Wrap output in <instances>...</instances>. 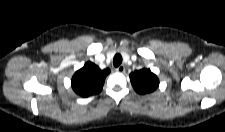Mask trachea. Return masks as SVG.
<instances>
[{"label": "trachea", "mask_w": 225, "mask_h": 132, "mask_svg": "<svg viewBox=\"0 0 225 132\" xmlns=\"http://www.w3.org/2000/svg\"><path fill=\"white\" fill-rule=\"evenodd\" d=\"M122 63V56L120 54H116L113 58V65L118 67Z\"/></svg>", "instance_id": "obj_1"}]
</instances>
